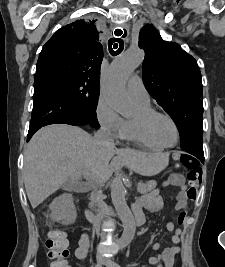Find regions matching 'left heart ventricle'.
I'll use <instances>...</instances> for the list:
<instances>
[{"label": "left heart ventricle", "mask_w": 225, "mask_h": 267, "mask_svg": "<svg viewBox=\"0 0 225 267\" xmlns=\"http://www.w3.org/2000/svg\"><path fill=\"white\" fill-rule=\"evenodd\" d=\"M153 132L158 143L162 145H172L176 141L175 128L167 118H156L153 122Z\"/></svg>", "instance_id": "left-heart-ventricle-1"}]
</instances>
